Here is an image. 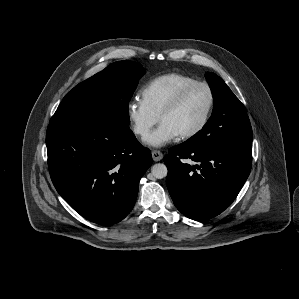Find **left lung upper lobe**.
Segmentation results:
<instances>
[{
	"mask_svg": "<svg viewBox=\"0 0 299 299\" xmlns=\"http://www.w3.org/2000/svg\"><path fill=\"white\" fill-rule=\"evenodd\" d=\"M205 77L214 98L213 112L202 130L186 143L203 149H252V128L244 105L222 78L212 72H207Z\"/></svg>",
	"mask_w": 299,
	"mask_h": 299,
	"instance_id": "1",
	"label": "left lung upper lobe"
}]
</instances>
